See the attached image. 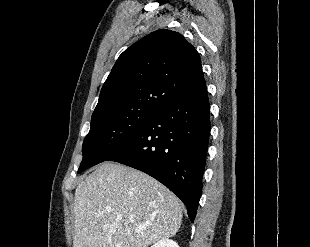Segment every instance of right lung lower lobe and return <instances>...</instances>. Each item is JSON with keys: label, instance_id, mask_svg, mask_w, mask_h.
<instances>
[{"label": "right lung lower lobe", "instance_id": "98d812e1", "mask_svg": "<svg viewBox=\"0 0 310 247\" xmlns=\"http://www.w3.org/2000/svg\"><path fill=\"white\" fill-rule=\"evenodd\" d=\"M206 85L160 108L136 136L106 161L154 177L187 207L191 222L202 193L211 130Z\"/></svg>", "mask_w": 310, "mask_h": 247}]
</instances>
